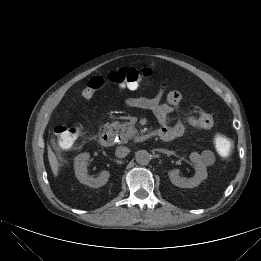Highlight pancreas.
I'll use <instances>...</instances> for the list:
<instances>
[{"mask_svg": "<svg viewBox=\"0 0 261 261\" xmlns=\"http://www.w3.org/2000/svg\"><path fill=\"white\" fill-rule=\"evenodd\" d=\"M110 126L115 130L116 134L120 136L121 143H127L129 139L135 134V127L129 123L125 122L120 124L119 122H113Z\"/></svg>", "mask_w": 261, "mask_h": 261, "instance_id": "cf45deb5", "label": "pancreas"}]
</instances>
